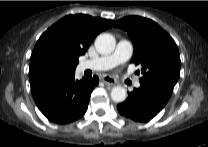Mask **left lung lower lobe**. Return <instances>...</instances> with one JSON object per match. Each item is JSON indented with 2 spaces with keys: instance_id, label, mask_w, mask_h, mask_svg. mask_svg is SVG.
<instances>
[{
  "instance_id": "left-lung-lower-lobe-1",
  "label": "left lung lower lobe",
  "mask_w": 208,
  "mask_h": 147,
  "mask_svg": "<svg viewBox=\"0 0 208 147\" xmlns=\"http://www.w3.org/2000/svg\"><path fill=\"white\" fill-rule=\"evenodd\" d=\"M171 94V90L161 85L141 83L123 103L117 105V109L127 119L147 122L163 109Z\"/></svg>"
}]
</instances>
